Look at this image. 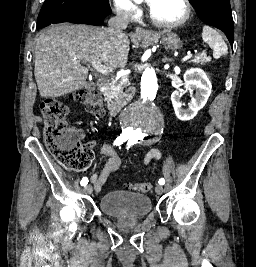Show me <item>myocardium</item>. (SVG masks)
I'll return each mask as SVG.
<instances>
[{"label": "myocardium", "instance_id": "1", "mask_svg": "<svg viewBox=\"0 0 256 267\" xmlns=\"http://www.w3.org/2000/svg\"><path fill=\"white\" fill-rule=\"evenodd\" d=\"M170 2L175 3L178 6H180L183 11V15L179 20L173 21L169 24L162 26L166 29H174L176 27L183 25L189 19L190 13H191L190 6L186 0H170Z\"/></svg>", "mask_w": 256, "mask_h": 267}]
</instances>
